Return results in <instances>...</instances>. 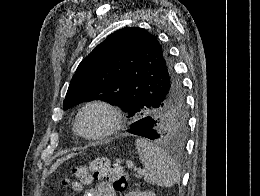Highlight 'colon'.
Here are the masks:
<instances>
[{"label": "colon", "mask_w": 260, "mask_h": 196, "mask_svg": "<svg viewBox=\"0 0 260 196\" xmlns=\"http://www.w3.org/2000/svg\"><path fill=\"white\" fill-rule=\"evenodd\" d=\"M127 173L123 166L112 163L107 159L94 160L87 166H80L75 170L73 178H66L64 184L87 185L94 181L110 182L117 188L125 185Z\"/></svg>", "instance_id": "5ec220e1"}]
</instances>
